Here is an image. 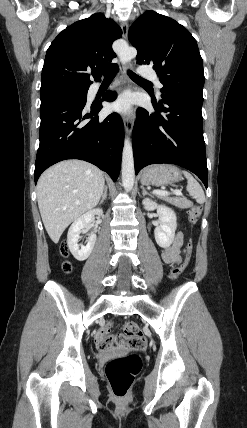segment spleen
Masks as SVG:
<instances>
[{
    "mask_svg": "<svg viewBox=\"0 0 247 428\" xmlns=\"http://www.w3.org/2000/svg\"><path fill=\"white\" fill-rule=\"evenodd\" d=\"M185 177L187 178L188 184H187V191L189 192V194L191 196H193L195 198V200L197 201V203L203 204L205 202V195H204V191L202 189V187L200 186V184L194 179V177L184 171L183 172Z\"/></svg>",
    "mask_w": 247,
    "mask_h": 428,
    "instance_id": "spleen-1",
    "label": "spleen"
}]
</instances>
